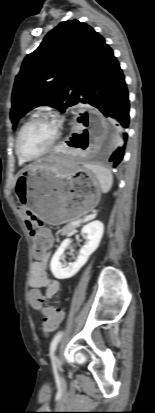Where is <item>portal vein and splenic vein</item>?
I'll return each instance as SVG.
<instances>
[{
  "instance_id": "1",
  "label": "portal vein and splenic vein",
  "mask_w": 155,
  "mask_h": 413,
  "mask_svg": "<svg viewBox=\"0 0 155 413\" xmlns=\"http://www.w3.org/2000/svg\"><path fill=\"white\" fill-rule=\"evenodd\" d=\"M89 218H91V217H89ZM89 218H86L85 221L88 220ZM72 224H76V223H72Z\"/></svg>"
}]
</instances>
